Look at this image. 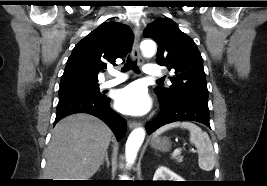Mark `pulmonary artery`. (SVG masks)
<instances>
[{
    "mask_svg": "<svg viewBox=\"0 0 267 186\" xmlns=\"http://www.w3.org/2000/svg\"><path fill=\"white\" fill-rule=\"evenodd\" d=\"M143 71L148 76H161L162 75V67L157 64H148L143 68ZM111 78L102 82L101 86L103 88H108L115 86L127 79L125 74L119 72H111Z\"/></svg>",
    "mask_w": 267,
    "mask_h": 186,
    "instance_id": "1",
    "label": "pulmonary artery"
}]
</instances>
